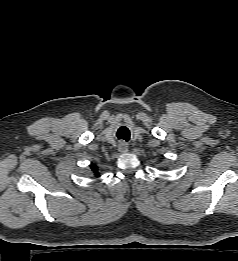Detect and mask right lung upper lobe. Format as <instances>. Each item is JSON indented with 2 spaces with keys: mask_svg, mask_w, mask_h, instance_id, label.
<instances>
[{
  "mask_svg": "<svg viewBox=\"0 0 238 261\" xmlns=\"http://www.w3.org/2000/svg\"><path fill=\"white\" fill-rule=\"evenodd\" d=\"M90 167H91L92 171L95 173V175L98 176V169H97V167L95 165H93V164Z\"/></svg>",
  "mask_w": 238,
  "mask_h": 261,
  "instance_id": "obj_1",
  "label": "right lung upper lobe"
}]
</instances>
